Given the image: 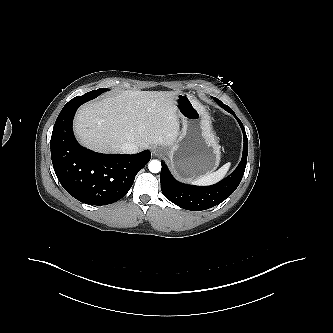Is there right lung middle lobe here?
Masks as SVG:
<instances>
[{"label":"right lung middle lobe","instance_id":"1","mask_svg":"<svg viewBox=\"0 0 333 333\" xmlns=\"http://www.w3.org/2000/svg\"><path fill=\"white\" fill-rule=\"evenodd\" d=\"M107 90H108L107 88H100V89H97V90L90 91V92H88V93H86L82 96H77V97L73 98L72 100H70L65 105V107H69V108L70 107H75V106L79 107L83 103L96 98L97 96H99L100 94H102L103 92H105Z\"/></svg>","mask_w":333,"mask_h":333}]
</instances>
